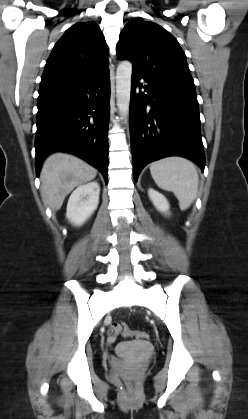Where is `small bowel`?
<instances>
[{
    "label": "small bowel",
    "instance_id": "obj_1",
    "mask_svg": "<svg viewBox=\"0 0 248 419\" xmlns=\"http://www.w3.org/2000/svg\"><path fill=\"white\" fill-rule=\"evenodd\" d=\"M114 341H115V337H114V336H110V337L108 338V342H109L110 344H113V343H114Z\"/></svg>",
    "mask_w": 248,
    "mask_h": 419
}]
</instances>
